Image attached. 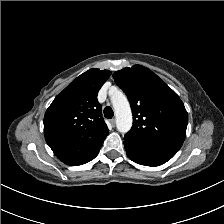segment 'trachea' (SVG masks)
Returning a JSON list of instances; mask_svg holds the SVG:
<instances>
[{
  "instance_id": "3493384b",
  "label": "trachea",
  "mask_w": 224,
  "mask_h": 224,
  "mask_svg": "<svg viewBox=\"0 0 224 224\" xmlns=\"http://www.w3.org/2000/svg\"><path fill=\"white\" fill-rule=\"evenodd\" d=\"M104 116L107 119H111L114 116V112L111 107L104 108Z\"/></svg>"
}]
</instances>
